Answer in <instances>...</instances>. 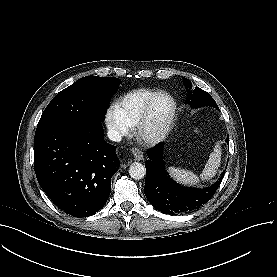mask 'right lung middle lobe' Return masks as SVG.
I'll list each match as a JSON object with an SVG mask.
<instances>
[{
  "mask_svg": "<svg viewBox=\"0 0 277 277\" xmlns=\"http://www.w3.org/2000/svg\"><path fill=\"white\" fill-rule=\"evenodd\" d=\"M121 80L86 76L58 93L44 110L37 128L55 124L102 122L110 97Z\"/></svg>",
  "mask_w": 277,
  "mask_h": 277,
  "instance_id": "obj_1",
  "label": "right lung middle lobe"
}]
</instances>
